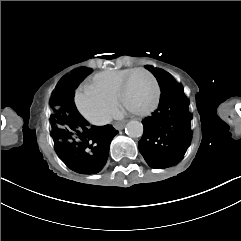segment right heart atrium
I'll use <instances>...</instances> for the list:
<instances>
[{
  "label": "right heart atrium",
  "instance_id": "obj_1",
  "mask_svg": "<svg viewBox=\"0 0 241 241\" xmlns=\"http://www.w3.org/2000/svg\"><path fill=\"white\" fill-rule=\"evenodd\" d=\"M109 99L111 100L109 94L103 93L93 84L78 87L74 94V103L78 111L96 125L106 124L113 118L116 112L115 103Z\"/></svg>",
  "mask_w": 241,
  "mask_h": 241
}]
</instances>
